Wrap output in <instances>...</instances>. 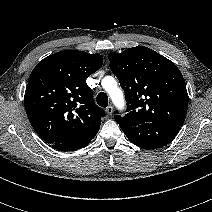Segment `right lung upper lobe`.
<instances>
[{"instance_id": "1", "label": "right lung upper lobe", "mask_w": 212, "mask_h": 212, "mask_svg": "<svg viewBox=\"0 0 212 212\" xmlns=\"http://www.w3.org/2000/svg\"><path fill=\"white\" fill-rule=\"evenodd\" d=\"M102 64L100 54L66 50L36 65L28 79L24 105L32 127L46 143L95 137L105 113L94 105L86 79Z\"/></svg>"}]
</instances>
